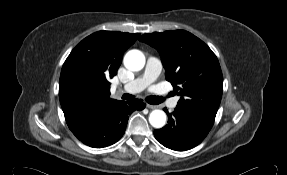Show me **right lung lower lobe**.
<instances>
[{"label":"right lung lower lobe","instance_id":"98d812e1","mask_svg":"<svg viewBox=\"0 0 287 175\" xmlns=\"http://www.w3.org/2000/svg\"><path fill=\"white\" fill-rule=\"evenodd\" d=\"M145 104L141 99L117 101L104 108L88 121L70 128L84 144L102 148L116 143L124 134L128 116L135 110H142Z\"/></svg>","mask_w":287,"mask_h":175}]
</instances>
